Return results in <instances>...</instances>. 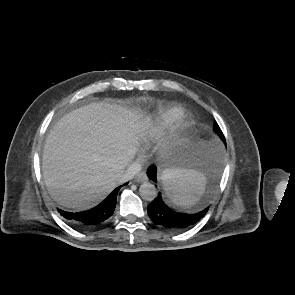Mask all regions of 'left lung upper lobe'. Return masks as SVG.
I'll list each match as a JSON object with an SVG mask.
<instances>
[{
	"label": "left lung upper lobe",
	"mask_w": 295,
	"mask_h": 295,
	"mask_svg": "<svg viewBox=\"0 0 295 295\" xmlns=\"http://www.w3.org/2000/svg\"><path fill=\"white\" fill-rule=\"evenodd\" d=\"M214 128H215V131L217 132V134L221 137V139L223 141H225L224 135L217 123L215 124Z\"/></svg>",
	"instance_id": "left-lung-upper-lobe-1"
}]
</instances>
